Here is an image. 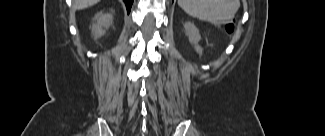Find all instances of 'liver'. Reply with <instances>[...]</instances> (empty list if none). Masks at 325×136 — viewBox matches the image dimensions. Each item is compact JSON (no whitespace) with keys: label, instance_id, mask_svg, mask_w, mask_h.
Returning <instances> with one entry per match:
<instances>
[{"label":"liver","instance_id":"1","mask_svg":"<svg viewBox=\"0 0 325 136\" xmlns=\"http://www.w3.org/2000/svg\"><path fill=\"white\" fill-rule=\"evenodd\" d=\"M99 0H74L73 1V7L74 9H85L87 7H90L96 3H98Z\"/></svg>","mask_w":325,"mask_h":136}]
</instances>
